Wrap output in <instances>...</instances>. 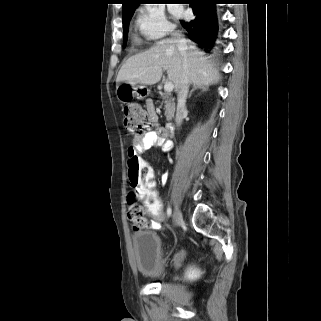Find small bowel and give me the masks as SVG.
Instances as JSON below:
<instances>
[{
	"label": "small bowel",
	"instance_id": "1",
	"mask_svg": "<svg viewBox=\"0 0 321 321\" xmlns=\"http://www.w3.org/2000/svg\"><path fill=\"white\" fill-rule=\"evenodd\" d=\"M148 109L150 111H153L151 103H148ZM151 147H162L166 152L171 150L172 144L168 140L162 128H157L154 131L147 132L143 136L135 137L133 139L132 145L128 148V155H130L131 153L138 155ZM150 171L153 173L151 169ZM140 199L143 200V198ZM145 228L158 229L160 228V223L153 221L147 222Z\"/></svg>",
	"mask_w": 321,
	"mask_h": 321
}]
</instances>
